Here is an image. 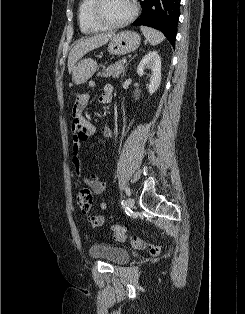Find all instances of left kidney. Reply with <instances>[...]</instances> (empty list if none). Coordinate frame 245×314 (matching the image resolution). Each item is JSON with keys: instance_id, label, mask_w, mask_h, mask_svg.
Returning a JSON list of instances; mask_svg holds the SVG:
<instances>
[{"instance_id": "left-kidney-1", "label": "left kidney", "mask_w": 245, "mask_h": 314, "mask_svg": "<svg viewBox=\"0 0 245 314\" xmlns=\"http://www.w3.org/2000/svg\"><path fill=\"white\" fill-rule=\"evenodd\" d=\"M145 68L152 70L148 85V91L152 95L157 91L161 82V59L157 51H150L142 58L137 67L139 76L144 74Z\"/></svg>"}]
</instances>
